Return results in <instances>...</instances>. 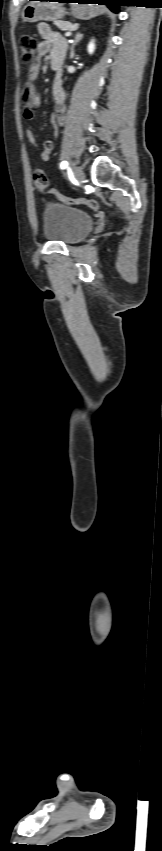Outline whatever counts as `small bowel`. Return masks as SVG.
Returning <instances> with one entry per match:
<instances>
[{
	"label": "small bowel",
	"mask_w": 162,
	"mask_h": 851,
	"mask_svg": "<svg viewBox=\"0 0 162 851\" xmlns=\"http://www.w3.org/2000/svg\"><path fill=\"white\" fill-rule=\"evenodd\" d=\"M38 31L42 37V41L38 43L37 57L28 70L27 79L22 93L23 116L27 121H32L34 119V110L38 108L41 103L40 97L34 87V81L36 80L40 69V58L47 55L51 62L58 61L60 65H62L66 53L65 40L57 32L53 31L47 23H40L38 25ZM52 97L55 102V110L50 117V122L53 125H63L66 106L65 91L62 87L61 73H58L53 81ZM25 135L30 143L36 145V138L31 129H26ZM53 135L54 137H57L58 131L55 130ZM54 148L55 144L53 141H45L42 149L40 150V159L43 162H47L54 151Z\"/></svg>",
	"instance_id": "small-bowel-1"
}]
</instances>
